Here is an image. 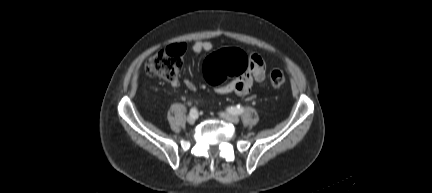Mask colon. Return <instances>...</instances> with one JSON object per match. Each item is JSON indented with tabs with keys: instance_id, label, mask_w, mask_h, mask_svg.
I'll return each instance as SVG.
<instances>
[{
	"instance_id": "colon-1",
	"label": "colon",
	"mask_w": 432,
	"mask_h": 193,
	"mask_svg": "<svg viewBox=\"0 0 432 193\" xmlns=\"http://www.w3.org/2000/svg\"><path fill=\"white\" fill-rule=\"evenodd\" d=\"M184 48L181 45L169 46L152 56L146 64L149 74L159 77L167 82H175L182 68V55ZM249 55L238 48L222 49L210 55L204 63V74L213 85L223 83L227 78L238 77L250 68ZM286 82L282 70H273L270 74V83L280 87Z\"/></svg>"
}]
</instances>
